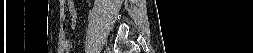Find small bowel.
Segmentation results:
<instances>
[{"instance_id":"c3829d8e","label":"small bowel","mask_w":253,"mask_h":53,"mask_svg":"<svg viewBox=\"0 0 253 53\" xmlns=\"http://www.w3.org/2000/svg\"><path fill=\"white\" fill-rule=\"evenodd\" d=\"M76 25V12L73 6H71V19H70V27L74 28ZM64 48L66 51L72 49V42L70 40H66L64 42Z\"/></svg>"}]
</instances>
